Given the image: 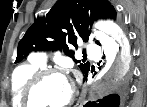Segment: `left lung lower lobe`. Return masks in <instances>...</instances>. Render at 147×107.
Returning a JSON list of instances; mask_svg holds the SVG:
<instances>
[{"label":"left lung lower lobe","mask_w":147,"mask_h":107,"mask_svg":"<svg viewBox=\"0 0 147 107\" xmlns=\"http://www.w3.org/2000/svg\"><path fill=\"white\" fill-rule=\"evenodd\" d=\"M89 72L90 70L88 73ZM88 73L84 75V81L87 78ZM127 94L128 87L123 81L120 85L117 86L116 93L105 96L103 99H99L94 102H88L83 107H123Z\"/></svg>","instance_id":"left-lung-lower-lobe-1"}]
</instances>
